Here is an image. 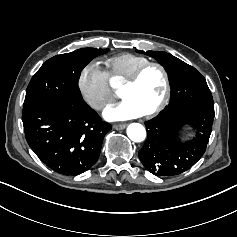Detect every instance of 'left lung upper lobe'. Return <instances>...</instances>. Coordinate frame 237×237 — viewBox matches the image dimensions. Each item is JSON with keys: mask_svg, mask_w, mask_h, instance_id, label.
<instances>
[{"mask_svg": "<svg viewBox=\"0 0 237 237\" xmlns=\"http://www.w3.org/2000/svg\"><path fill=\"white\" fill-rule=\"evenodd\" d=\"M155 58L171 79L172 98L169 106L157 118L145 122L147 140L139 151L144 167L157 176H174L191 168L184 160H199L205 153L212 131L198 120H174L165 115L173 108L213 104L211 91L205 78L194 67L163 51H139ZM191 125L196 136L188 141L177 140L179 130Z\"/></svg>", "mask_w": 237, "mask_h": 237, "instance_id": "left-lung-upper-lobe-1", "label": "left lung upper lobe"}]
</instances>
